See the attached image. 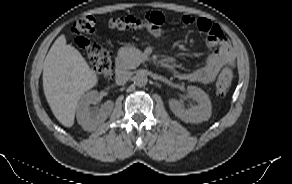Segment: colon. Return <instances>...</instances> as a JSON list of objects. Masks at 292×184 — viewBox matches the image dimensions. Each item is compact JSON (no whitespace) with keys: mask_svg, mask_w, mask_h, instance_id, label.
<instances>
[{"mask_svg":"<svg viewBox=\"0 0 292 184\" xmlns=\"http://www.w3.org/2000/svg\"><path fill=\"white\" fill-rule=\"evenodd\" d=\"M97 21L93 16H85L76 20L72 27L75 42L88 56V59L99 76L110 79L113 75L112 57L110 51L104 46L90 40L95 31ZM163 24V17L157 11L150 12L145 18L133 16L119 17L110 20L109 26L116 31H130L140 28L148 29L152 34L157 32ZM233 72L224 68L217 79L216 91L219 96H225L231 86Z\"/></svg>","mask_w":292,"mask_h":184,"instance_id":"colon-1","label":"colon"}]
</instances>
